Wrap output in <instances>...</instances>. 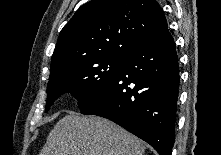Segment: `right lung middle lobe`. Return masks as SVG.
<instances>
[{
  "label": "right lung middle lobe",
  "instance_id": "dd1d6c3e",
  "mask_svg": "<svg viewBox=\"0 0 221 155\" xmlns=\"http://www.w3.org/2000/svg\"><path fill=\"white\" fill-rule=\"evenodd\" d=\"M126 56L79 60L51 74L47 85L46 112L63 93L71 92L84 108L113 80Z\"/></svg>",
  "mask_w": 221,
  "mask_h": 155
}]
</instances>
